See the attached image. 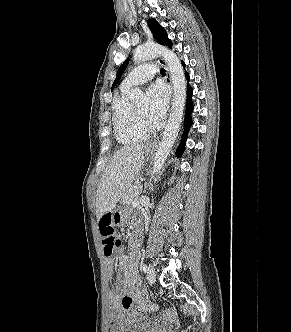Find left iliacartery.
<instances>
[{
    "label": "left iliac artery",
    "instance_id": "44dca946",
    "mask_svg": "<svg viewBox=\"0 0 291 332\" xmlns=\"http://www.w3.org/2000/svg\"><path fill=\"white\" fill-rule=\"evenodd\" d=\"M141 269H142V271L144 272V273H146L147 271H148V266L146 265V264H142L141 265Z\"/></svg>",
    "mask_w": 291,
    "mask_h": 332
}]
</instances>
